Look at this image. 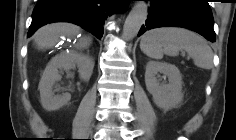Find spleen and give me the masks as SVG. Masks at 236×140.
Returning a JSON list of instances; mask_svg holds the SVG:
<instances>
[{
  "mask_svg": "<svg viewBox=\"0 0 236 140\" xmlns=\"http://www.w3.org/2000/svg\"><path fill=\"white\" fill-rule=\"evenodd\" d=\"M140 49L152 59H162L163 55L177 56L184 50L193 58L194 64L203 69H211L213 52L207 42L196 33L183 28L167 27L152 29L143 35Z\"/></svg>",
  "mask_w": 236,
  "mask_h": 140,
  "instance_id": "obj_1",
  "label": "spleen"
}]
</instances>
